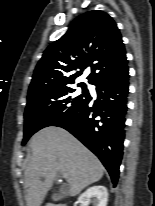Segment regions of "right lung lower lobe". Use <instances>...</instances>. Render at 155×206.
<instances>
[{"instance_id":"98d812e1","label":"right lung lower lobe","mask_w":155,"mask_h":206,"mask_svg":"<svg viewBox=\"0 0 155 206\" xmlns=\"http://www.w3.org/2000/svg\"><path fill=\"white\" fill-rule=\"evenodd\" d=\"M97 100L90 99L73 113L55 123L73 134L89 148L108 170L114 186L123 155L125 120L129 90L126 66L96 85Z\"/></svg>"}]
</instances>
